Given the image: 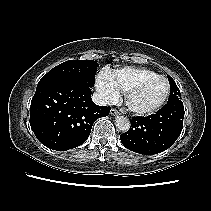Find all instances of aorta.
<instances>
[{
  "mask_svg": "<svg viewBox=\"0 0 211 211\" xmlns=\"http://www.w3.org/2000/svg\"><path fill=\"white\" fill-rule=\"evenodd\" d=\"M115 125L120 131L127 132L130 128V121L125 116H117L115 119Z\"/></svg>",
  "mask_w": 211,
  "mask_h": 211,
  "instance_id": "762f6f07",
  "label": "aorta"
}]
</instances>
